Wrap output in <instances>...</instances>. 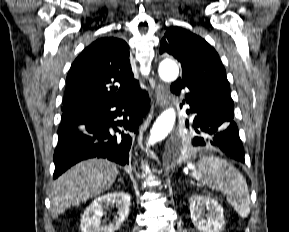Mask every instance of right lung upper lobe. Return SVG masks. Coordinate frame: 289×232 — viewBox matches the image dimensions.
<instances>
[{"label":"right lung upper lobe","mask_w":289,"mask_h":232,"mask_svg":"<svg viewBox=\"0 0 289 232\" xmlns=\"http://www.w3.org/2000/svg\"><path fill=\"white\" fill-rule=\"evenodd\" d=\"M129 46L118 38H101L82 51L66 80L63 114L113 102L137 87L129 59Z\"/></svg>","instance_id":"obj_1"}]
</instances>
